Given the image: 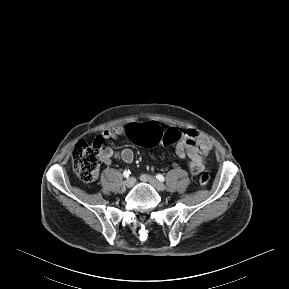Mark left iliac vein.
Returning <instances> with one entry per match:
<instances>
[{"mask_svg":"<svg viewBox=\"0 0 289 289\" xmlns=\"http://www.w3.org/2000/svg\"><path fill=\"white\" fill-rule=\"evenodd\" d=\"M140 180L144 183L151 184L158 191H164L165 190L164 184H162L161 182H159L157 179H155L154 177H152L150 175L143 174L140 176Z\"/></svg>","mask_w":289,"mask_h":289,"instance_id":"4c4485c4","label":"left iliac vein"}]
</instances>
